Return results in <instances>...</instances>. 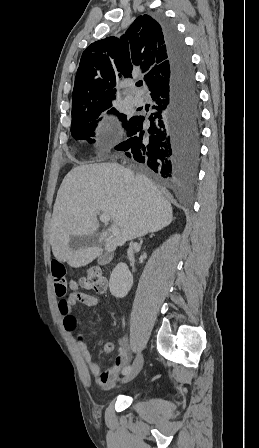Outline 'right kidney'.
<instances>
[{
	"instance_id": "ca27d5eb",
	"label": "right kidney",
	"mask_w": 259,
	"mask_h": 448,
	"mask_svg": "<svg viewBox=\"0 0 259 448\" xmlns=\"http://www.w3.org/2000/svg\"><path fill=\"white\" fill-rule=\"evenodd\" d=\"M133 284V276L128 270L127 264H117L114 268L110 280L109 290L115 298H124L130 292Z\"/></svg>"
}]
</instances>
